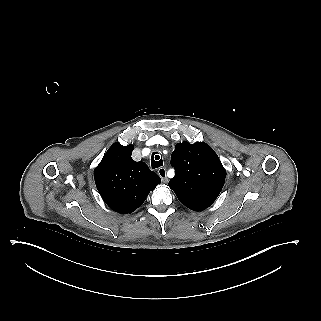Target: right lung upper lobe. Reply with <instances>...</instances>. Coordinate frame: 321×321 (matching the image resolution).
I'll return each mask as SVG.
<instances>
[{"instance_id":"cb5924a9","label":"right lung upper lobe","mask_w":321,"mask_h":321,"mask_svg":"<svg viewBox=\"0 0 321 321\" xmlns=\"http://www.w3.org/2000/svg\"><path fill=\"white\" fill-rule=\"evenodd\" d=\"M133 146L114 143L94 172L97 190L114 211L127 214L136 210L149 192L160 184V177L144 162L131 158Z\"/></svg>"}]
</instances>
